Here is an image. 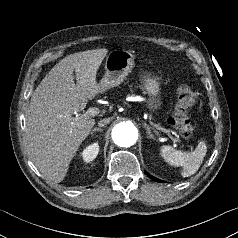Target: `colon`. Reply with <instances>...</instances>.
<instances>
[{"label": "colon", "mask_w": 238, "mask_h": 238, "mask_svg": "<svg viewBox=\"0 0 238 238\" xmlns=\"http://www.w3.org/2000/svg\"><path fill=\"white\" fill-rule=\"evenodd\" d=\"M195 103L196 94L188 86L181 85L177 90V103L169 118V124L184 138L192 137L195 131L189 116V111Z\"/></svg>", "instance_id": "5ec220e1"}]
</instances>
